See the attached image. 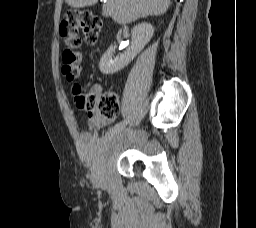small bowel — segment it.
I'll return each mask as SVG.
<instances>
[{
	"label": "small bowel",
	"mask_w": 256,
	"mask_h": 228,
	"mask_svg": "<svg viewBox=\"0 0 256 228\" xmlns=\"http://www.w3.org/2000/svg\"><path fill=\"white\" fill-rule=\"evenodd\" d=\"M92 92L96 95H100L102 92V87L99 84H95L92 86ZM113 119H107V118H102V117H95L92 118L89 121V126L93 130H100L103 127L107 126L112 122Z\"/></svg>",
	"instance_id": "obj_1"
}]
</instances>
